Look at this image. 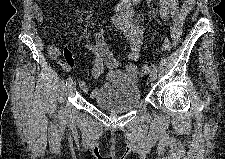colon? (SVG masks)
Listing matches in <instances>:
<instances>
[{"label": "colon", "mask_w": 225, "mask_h": 159, "mask_svg": "<svg viewBox=\"0 0 225 159\" xmlns=\"http://www.w3.org/2000/svg\"><path fill=\"white\" fill-rule=\"evenodd\" d=\"M171 49V41L168 38H165L162 43V51L167 52ZM154 62H146L143 64L141 68L142 74H148L151 71L152 65Z\"/></svg>", "instance_id": "obj_1"}]
</instances>
